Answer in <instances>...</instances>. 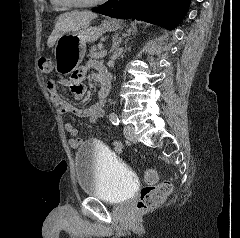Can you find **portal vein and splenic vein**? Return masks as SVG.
Listing matches in <instances>:
<instances>
[{"label":"portal vein and splenic vein","instance_id":"obj_1","mask_svg":"<svg viewBox=\"0 0 240 238\" xmlns=\"http://www.w3.org/2000/svg\"><path fill=\"white\" fill-rule=\"evenodd\" d=\"M106 50L105 49H102V51H101V57H104L105 55H106Z\"/></svg>","mask_w":240,"mask_h":238}]
</instances>
